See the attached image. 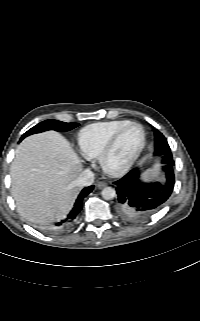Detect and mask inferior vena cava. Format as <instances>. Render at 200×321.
Segmentation results:
<instances>
[{"instance_id": "obj_1", "label": "inferior vena cava", "mask_w": 200, "mask_h": 321, "mask_svg": "<svg viewBox=\"0 0 200 321\" xmlns=\"http://www.w3.org/2000/svg\"><path fill=\"white\" fill-rule=\"evenodd\" d=\"M94 182V173L90 169L83 170L75 180V185L78 187L90 186Z\"/></svg>"}]
</instances>
